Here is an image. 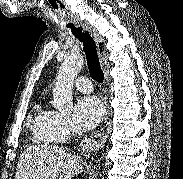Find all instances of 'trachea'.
Here are the masks:
<instances>
[{
  "label": "trachea",
  "mask_w": 183,
  "mask_h": 179,
  "mask_svg": "<svg viewBox=\"0 0 183 179\" xmlns=\"http://www.w3.org/2000/svg\"><path fill=\"white\" fill-rule=\"evenodd\" d=\"M67 27L70 28L72 34L83 43L91 77L98 83H103L104 73L100 66L95 41L88 32L83 33L79 27H75L72 23L67 24Z\"/></svg>",
  "instance_id": "3493384b"
}]
</instances>
